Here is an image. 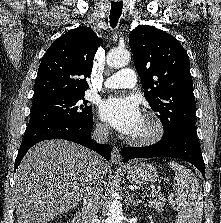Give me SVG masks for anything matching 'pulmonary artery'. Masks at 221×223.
I'll return each mask as SVG.
<instances>
[{
	"label": "pulmonary artery",
	"instance_id": "e3ab8cb5",
	"mask_svg": "<svg viewBox=\"0 0 221 223\" xmlns=\"http://www.w3.org/2000/svg\"><path fill=\"white\" fill-rule=\"evenodd\" d=\"M136 83L137 77L135 71L125 68L107 77L104 81V87L107 89L132 88Z\"/></svg>",
	"mask_w": 221,
	"mask_h": 223
}]
</instances>
